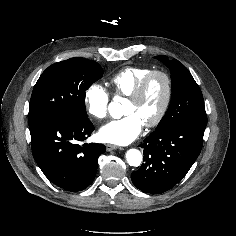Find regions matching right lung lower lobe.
Listing matches in <instances>:
<instances>
[{
  "mask_svg": "<svg viewBox=\"0 0 236 236\" xmlns=\"http://www.w3.org/2000/svg\"><path fill=\"white\" fill-rule=\"evenodd\" d=\"M28 121L33 157L48 180L71 192L88 187L105 152V145L78 143L94 131L90 120L42 113L29 116Z\"/></svg>",
  "mask_w": 236,
  "mask_h": 236,
  "instance_id": "98d812e1",
  "label": "right lung lower lobe"
}]
</instances>
